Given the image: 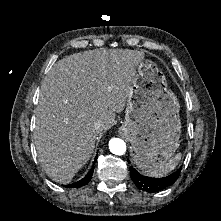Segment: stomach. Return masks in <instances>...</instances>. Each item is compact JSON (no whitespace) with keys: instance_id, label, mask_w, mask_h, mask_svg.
Returning <instances> with one entry per match:
<instances>
[{"instance_id":"obj_1","label":"stomach","mask_w":221,"mask_h":221,"mask_svg":"<svg viewBox=\"0 0 221 221\" xmlns=\"http://www.w3.org/2000/svg\"><path fill=\"white\" fill-rule=\"evenodd\" d=\"M179 109L162 70L152 60H141L120 132L130 141L134 162L143 172L157 169L174 155L181 135Z\"/></svg>"}]
</instances>
